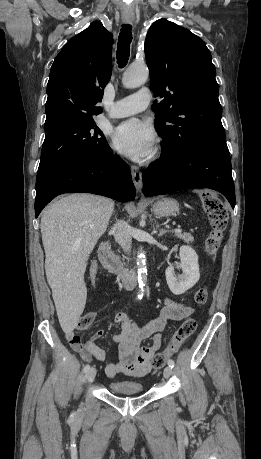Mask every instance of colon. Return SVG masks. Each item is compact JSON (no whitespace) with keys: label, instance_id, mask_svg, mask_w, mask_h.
Here are the masks:
<instances>
[{"label":"colon","instance_id":"obj_1","mask_svg":"<svg viewBox=\"0 0 261 459\" xmlns=\"http://www.w3.org/2000/svg\"><path fill=\"white\" fill-rule=\"evenodd\" d=\"M204 210L210 223V232L205 242V248L210 256H214L220 246L223 232L225 231L229 213L222 200L211 191H204L200 194ZM208 299L206 286L199 287L194 294V301L198 305H204ZM95 319L93 312L83 314L77 323V329L84 331L91 327ZM197 322L193 318L186 319L172 336L168 346L161 352L156 353L152 358V366L160 369L166 361L173 356L196 330Z\"/></svg>","mask_w":261,"mask_h":459}]
</instances>
